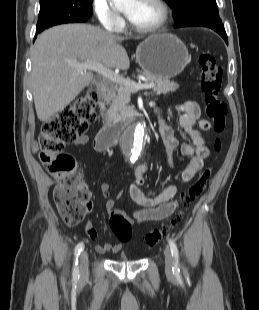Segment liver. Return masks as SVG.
<instances>
[{"mask_svg": "<svg viewBox=\"0 0 259 310\" xmlns=\"http://www.w3.org/2000/svg\"><path fill=\"white\" fill-rule=\"evenodd\" d=\"M123 37L87 24H65L44 31L31 49V84L37 117L47 121L62 111L93 80L92 72L70 62L94 61L126 70L130 61Z\"/></svg>", "mask_w": 259, "mask_h": 310, "instance_id": "6515ba94", "label": "liver"}]
</instances>
